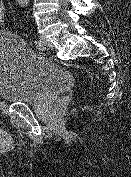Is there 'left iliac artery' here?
Segmentation results:
<instances>
[{
	"label": "left iliac artery",
	"mask_w": 131,
	"mask_h": 177,
	"mask_svg": "<svg viewBox=\"0 0 131 177\" xmlns=\"http://www.w3.org/2000/svg\"><path fill=\"white\" fill-rule=\"evenodd\" d=\"M35 46H36V48H41V43L38 41V40H36L35 41Z\"/></svg>",
	"instance_id": "44dca946"
}]
</instances>
